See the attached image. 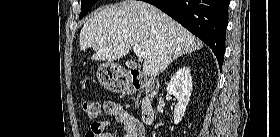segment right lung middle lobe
<instances>
[{
  "label": "right lung middle lobe",
  "mask_w": 280,
  "mask_h": 137,
  "mask_svg": "<svg viewBox=\"0 0 280 137\" xmlns=\"http://www.w3.org/2000/svg\"><path fill=\"white\" fill-rule=\"evenodd\" d=\"M98 0H81V13L79 19L83 18Z\"/></svg>",
  "instance_id": "1"
}]
</instances>
